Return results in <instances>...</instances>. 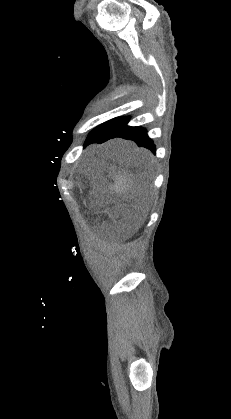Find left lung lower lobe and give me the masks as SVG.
Returning a JSON list of instances; mask_svg holds the SVG:
<instances>
[{"mask_svg":"<svg viewBox=\"0 0 231 419\" xmlns=\"http://www.w3.org/2000/svg\"><path fill=\"white\" fill-rule=\"evenodd\" d=\"M129 117H117L109 120L92 130L84 146L92 143H104L113 138H123L134 141L139 147H145L156 154V147L153 140L147 135V131L142 127H131L127 123Z\"/></svg>","mask_w":231,"mask_h":419,"instance_id":"left-lung-lower-lobe-1","label":"left lung lower lobe"}]
</instances>
